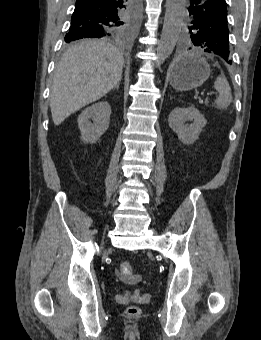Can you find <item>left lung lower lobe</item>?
<instances>
[{"instance_id":"1","label":"left lung lower lobe","mask_w":261,"mask_h":340,"mask_svg":"<svg viewBox=\"0 0 261 340\" xmlns=\"http://www.w3.org/2000/svg\"><path fill=\"white\" fill-rule=\"evenodd\" d=\"M188 10L193 15V19L208 16L227 17L225 0H190ZM225 61L231 64V55Z\"/></svg>"}]
</instances>
